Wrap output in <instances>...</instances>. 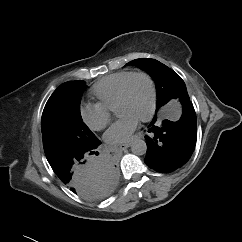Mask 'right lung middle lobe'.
Masks as SVG:
<instances>
[{
    "label": "right lung middle lobe",
    "mask_w": 242,
    "mask_h": 242,
    "mask_svg": "<svg viewBox=\"0 0 242 242\" xmlns=\"http://www.w3.org/2000/svg\"><path fill=\"white\" fill-rule=\"evenodd\" d=\"M85 88L83 81L66 82L48 99L41 119L48 162L73 151L90 149L98 143L80 113V99Z\"/></svg>",
    "instance_id": "1"
}]
</instances>
